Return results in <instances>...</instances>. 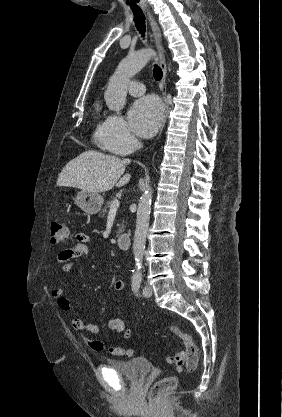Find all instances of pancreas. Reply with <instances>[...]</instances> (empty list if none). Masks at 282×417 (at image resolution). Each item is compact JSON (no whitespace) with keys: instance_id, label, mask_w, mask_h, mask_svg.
Masks as SVG:
<instances>
[{"instance_id":"obj_1","label":"pancreas","mask_w":282,"mask_h":417,"mask_svg":"<svg viewBox=\"0 0 282 417\" xmlns=\"http://www.w3.org/2000/svg\"><path fill=\"white\" fill-rule=\"evenodd\" d=\"M112 200H115V196H113ZM110 204H111V200H107L104 209L101 213V215H99V217H105L106 213H108V209H110ZM121 233H124V225H119L118 227V231L116 233V237H119V235H121Z\"/></svg>"}]
</instances>
